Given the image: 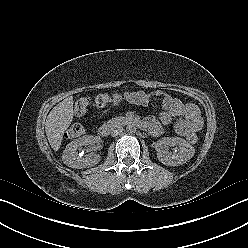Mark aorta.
Wrapping results in <instances>:
<instances>
[{
  "label": "aorta",
  "mask_w": 248,
  "mask_h": 248,
  "mask_svg": "<svg viewBox=\"0 0 248 248\" xmlns=\"http://www.w3.org/2000/svg\"><path fill=\"white\" fill-rule=\"evenodd\" d=\"M136 129L137 128H136L135 124H133V123L128 124L127 127H126L127 132L130 133V134L135 133Z\"/></svg>",
  "instance_id": "762f6f07"
}]
</instances>
